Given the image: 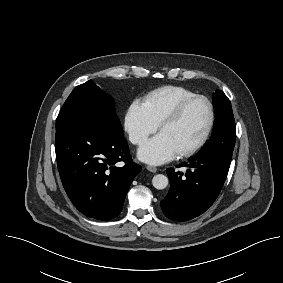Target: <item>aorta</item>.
I'll use <instances>...</instances> for the list:
<instances>
[{
	"label": "aorta",
	"instance_id": "obj_1",
	"mask_svg": "<svg viewBox=\"0 0 283 283\" xmlns=\"http://www.w3.org/2000/svg\"><path fill=\"white\" fill-rule=\"evenodd\" d=\"M168 178L163 174H157L152 179V185L158 190L165 189L168 185Z\"/></svg>",
	"mask_w": 283,
	"mask_h": 283
}]
</instances>
